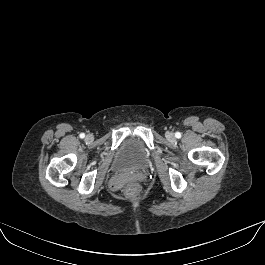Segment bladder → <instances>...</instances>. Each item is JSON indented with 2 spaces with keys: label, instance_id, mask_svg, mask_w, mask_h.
<instances>
[{
  "label": "bladder",
  "instance_id": "1",
  "mask_svg": "<svg viewBox=\"0 0 265 265\" xmlns=\"http://www.w3.org/2000/svg\"><path fill=\"white\" fill-rule=\"evenodd\" d=\"M150 162V152L137 138H128L120 145L113 163L116 171L142 168Z\"/></svg>",
  "mask_w": 265,
  "mask_h": 265
}]
</instances>
